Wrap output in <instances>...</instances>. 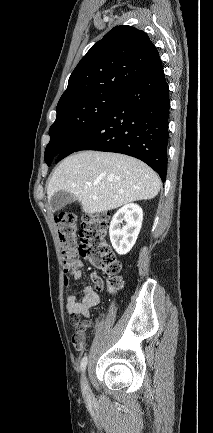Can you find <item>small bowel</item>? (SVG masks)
I'll list each match as a JSON object with an SVG mask.
<instances>
[{"mask_svg": "<svg viewBox=\"0 0 213 433\" xmlns=\"http://www.w3.org/2000/svg\"><path fill=\"white\" fill-rule=\"evenodd\" d=\"M70 278L76 281L81 279L82 271L80 265L76 263L72 270L68 273ZM69 286V284H67ZM100 301L99 294L90 286L84 285L82 288V297L78 299L75 295L68 293L67 295V312L71 316H81L88 319L90 316V309L96 306ZM91 323L86 320L83 322V327L80 332H76L73 336V344L77 350L84 348L86 340V330L90 327Z\"/></svg>", "mask_w": 213, "mask_h": 433, "instance_id": "obj_1", "label": "small bowel"}]
</instances>
